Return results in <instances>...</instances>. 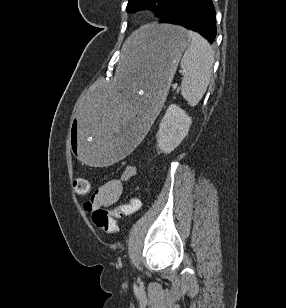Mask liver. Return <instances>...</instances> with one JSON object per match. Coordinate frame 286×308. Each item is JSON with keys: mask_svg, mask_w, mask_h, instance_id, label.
Masks as SVG:
<instances>
[{"mask_svg": "<svg viewBox=\"0 0 286 308\" xmlns=\"http://www.w3.org/2000/svg\"><path fill=\"white\" fill-rule=\"evenodd\" d=\"M138 40V33L137 31L134 32L126 41L124 47H123V51L125 52V54L129 57L130 59L133 61V50H134V46L136 41Z\"/></svg>", "mask_w": 286, "mask_h": 308, "instance_id": "liver-1", "label": "liver"}]
</instances>
